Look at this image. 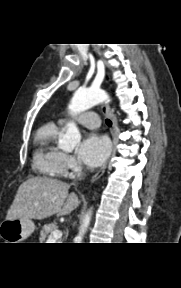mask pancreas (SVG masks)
Here are the masks:
<instances>
[{"mask_svg": "<svg viewBox=\"0 0 181 288\" xmlns=\"http://www.w3.org/2000/svg\"><path fill=\"white\" fill-rule=\"evenodd\" d=\"M57 229L56 223L46 224L40 231V241L43 242L50 234Z\"/></svg>", "mask_w": 181, "mask_h": 288, "instance_id": "1", "label": "pancreas"}]
</instances>
